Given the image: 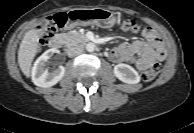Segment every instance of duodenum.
<instances>
[{
    "label": "duodenum",
    "mask_w": 194,
    "mask_h": 133,
    "mask_svg": "<svg viewBox=\"0 0 194 133\" xmlns=\"http://www.w3.org/2000/svg\"><path fill=\"white\" fill-rule=\"evenodd\" d=\"M73 41L76 42L77 44H85L86 42H91V40L89 38H85V37H80V36H76L73 38ZM63 43V38L61 35H56L54 36L50 42H49V47L52 49H59L62 46Z\"/></svg>",
    "instance_id": "duodenum-1"
}]
</instances>
